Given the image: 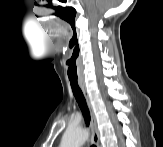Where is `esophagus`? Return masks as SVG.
Returning <instances> with one entry per match:
<instances>
[{"mask_svg":"<svg viewBox=\"0 0 163 147\" xmlns=\"http://www.w3.org/2000/svg\"><path fill=\"white\" fill-rule=\"evenodd\" d=\"M80 88L83 92V95L85 97L88 109H89V113H90V120H91V132H92V136H91V141L92 143L98 145L99 143V131H98V127H97V122H96V117L94 114V110H93V106L91 104V100L89 97V94L86 90V86L84 84V82H80L79 83Z\"/></svg>","mask_w":163,"mask_h":147,"instance_id":"1","label":"esophagus"}]
</instances>
